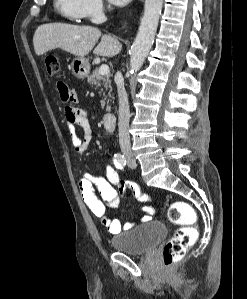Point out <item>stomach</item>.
<instances>
[{
    "label": "stomach",
    "instance_id": "stomach-1",
    "mask_svg": "<svg viewBox=\"0 0 247 299\" xmlns=\"http://www.w3.org/2000/svg\"><path fill=\"white\" fill-rule=\"evenodd\" d=\"M72 73L78 79H85L90 72L89 60L84 57H76L71 63Z\"/></svg>",
    "mask_w": 247,
    "mask_h": 299
}]
</instances>
